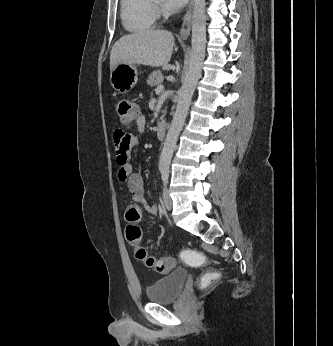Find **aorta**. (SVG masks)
Here are the masks:
<instances>
[{
  "instance_id": "obj_1",
  "label": "aorta",
  "mask_w": 333,
  "mask_h": 346,
  "mask_svg": "<svg viewBox=\"0 0 333 346\" xmlns=\"http://www.w3.org/2000/svg\"><path fill=\"white\" fill-rule=\"evenodd\" d=\"M206 1L194 0L192 15V50L188 71L179 92L176 112L166 135L160 155L159 168H169L174 149L183 128L191 99L201 76L206 48Z\"/></svg>"
}]
</instances>
